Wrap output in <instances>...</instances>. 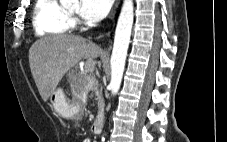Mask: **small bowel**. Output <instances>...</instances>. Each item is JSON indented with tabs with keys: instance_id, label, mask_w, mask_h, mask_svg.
Returning <instances> with one entry per match:
<instances>
[{
	"instance_id": "small-bowel-1",
	"label": "small bowel",
	"mask_w": 227,
	"mask_h": 142,
	"mask_svg": "<svg viewBox=\"0 0 227 142\" xmlns=\"http://www.w3.org/2000/svg\"><path fill=\"white\" fill-rule=\"evenodd\" d=\"M83 142H91V140L87 138Z\"/></svg>"
}]
</instances>
